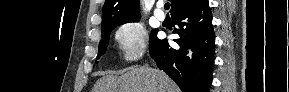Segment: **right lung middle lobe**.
I'll return each mask as SVG.
<instances>
[{
  "mask_svg": "<svg viewBox=\"0 0 289 92\" xmlns=\"http://www.w3.org/2000/svg\"><path fill=\"white\" fill-rule=\"evenodd\" d=\"M139 19L137 20H133V21H138ZM133 21H129V22H133ZM124 23H127V22H122V23H117V24H113V25H110L104 29H102V40L99 44V51H98V56H97V59L100 58V56L102 54H104L106 52V49H107V46H108V42H109V34L111 33V31L118 25H121V24H124ZM156 34H157V30H153L151 32V35H150V44L151 42L153 41L154 38H156Z\"/></svg>",
  "mask_w": 289,
  "mask_h": 92,
  "instance_id": "dd1d6c3e",
  "label": "right lung middle lobe"
}]
</instances>
